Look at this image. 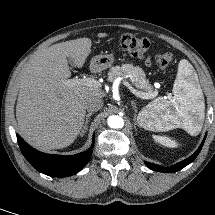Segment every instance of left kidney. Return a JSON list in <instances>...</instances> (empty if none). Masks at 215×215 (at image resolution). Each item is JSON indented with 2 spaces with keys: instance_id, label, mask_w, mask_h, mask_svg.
<instances>
[{
  "instance_id": "1",
  "label": "left kidney",
  "mask_w": 215,
  "mask_h": 215,
  "mask_svg": "<svg viewBox=\"0 0 215 215\" xmlns=\"http://www.w3.org/2000/svg\"><path fill=\"white\" fill-rule=\"evenodd\" d=\"M153 139L156 142H158V143H160V144H162V145H164L166 147H170V148H175L178 145L175 140H172L169 137H165V136H156V135H154Z\"/></svg>"
}]
</instances>
